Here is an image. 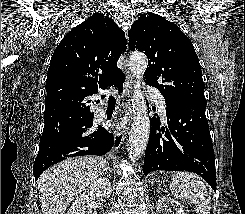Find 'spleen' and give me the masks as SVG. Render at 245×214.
Segmentation results:
<instances>
[{"label":"spleen","mask_w":245,"mask_h":214,"mask_svg":"<svg viewBox=\"0 0 245 214\" xmlns=\"http://www.w3.org/2000/svg\"><path fill=\"white\" fill-rule=\"evenodd\" d=\"M170 189L172 194L183 201L195 204L197 214H210V198L204 182L190 172H174L171 175Z\"/></svg>","instance_id":"obj_1"}]
</instances>
